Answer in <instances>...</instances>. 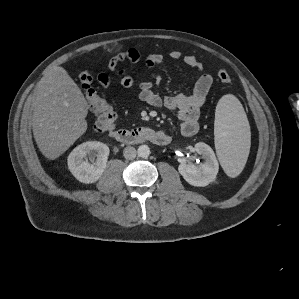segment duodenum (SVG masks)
<instances>
[{
	"label": "duodenum",
	"mask_w": 299,
	"mask_h": 299,
	"mask_svg": "<svg viewBox=\"0 0 299 299\" xmlns=\"http://www.w3.org/2000/svg\"><path fill=\"white\" fill-rule=\"evenodd\" d=\"M111 136L118 142L131 145L142 142H152L158 145L169 143V137L166 133L155 131L149 127H138L134 129H116Z\"/></svg>",
	"instance_id": "obj_1"
}]
</instances>
